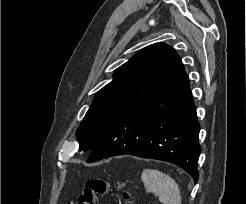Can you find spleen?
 I'll return each instance as SVG.
<instances>
[{
  "instance_id": "obj_1",
  "label": "spleen",
  "mask_w": 246,
  "mask_h": 204,
  "mask_svg": "<svg viewBox=\"0 0 246 204\" xmlns=\"http://www.w3.org/2000/svg\"><path fill=\"white\" fill-rule=\"evenodd\" d=\"M141 180L146 191L154 193L163 204H181L179 185L169 175L155 169H144Z\"/></svg>"
}]
</instances>
